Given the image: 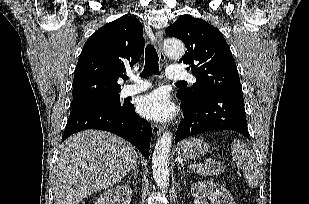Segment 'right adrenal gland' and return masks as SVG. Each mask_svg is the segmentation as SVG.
I'll return each instance as SVG.
<instances>
[{"label":"right adrenal gland","instance_id":"2a0ac1e0","mask_svg":"<svg viewBox=\"0 0 309 204\" xmlns=\"http://www.w3.org/2000/svg\"><path fill=\"white\" fill-rule=\"evenodd\" d=\"M130 177H133L137 182L139 181L138 179V169L137 168H132V174L130 175Z\"/></svg>","mask_w":309,"mask_h":204}]
</instances>
